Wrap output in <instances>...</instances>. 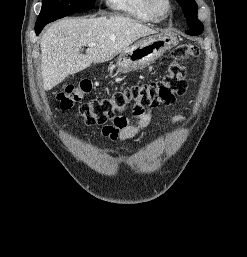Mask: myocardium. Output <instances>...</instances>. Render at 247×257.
<instances>
[{"label": "myocardium", "instance_id": "1", "mask_svg": "<svg viewBox=\"0 0 247 257\" xmlns=\"http://www.w3.org/2000/svg\"><path fill=\"white\" fill-rule=\"evenodd\" d=\"M147 9L155 21L166 19L172 11L171 0H147Z\"/></svg>", "mask_w": 247, "mask_h": 257}]
</instances>
